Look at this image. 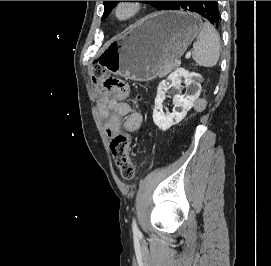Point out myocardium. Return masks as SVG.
Segmentation results:
<instances>
[{"label":"myocardium","mask_w":271,"mask_h":266,"mask_svg":"<svg viewBox=\"0 0 271 266\" xmlns=\"http://www.w3.org/2000/svg\"><path fill=\"white\" fill-rule=\"evenodd\" d=\"M144 10L142 1H118L112 9L113 19L121 24L138 19Z\"/></svg>","instance_id":"f54148a6"}]
</instances>
